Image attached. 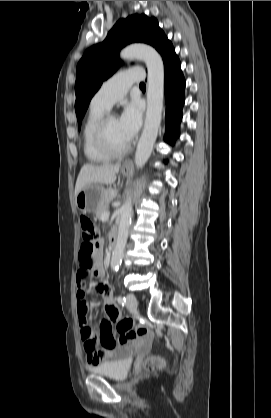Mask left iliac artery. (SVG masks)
<instances>
[{
  "label": "left iliac artery",
  "mask_w": 271,
  "mask_h": 418,
  "mask_svg": "<svg viewBox=\"0 0 271 418\" xmlns=\"http://www.w3.org/2000/svg\"><path fill=\"white\" fill-rule=\"evenodd\" d=\"M117 302L121 305H124L126 303V298L122 296L117 297Z\"/></svg>",
  "instance_id": "left-iliac-artery-1"
}]
</instances>
